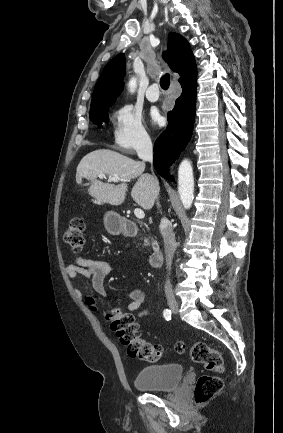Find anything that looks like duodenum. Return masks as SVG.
Instances as JSON below:
<instances>
[{"label":"duodenum","instance_id":"duodenum-1","mask_svg":"<svg viewBox=\"0 0 283 433\" xmlns=\"http://www.w3.org/2000/svg\"><path fill=\"white\" fill-rule=\"evenodd\" d=\"M122 228L127 236H137L139 234V227L132 221L125 220L122 224ZM163 258V251L161 249H155L149 258L150 265L153 267L161 266Z\"/></svg>","mask_w":283,"mask_h":433}]
</instances>
